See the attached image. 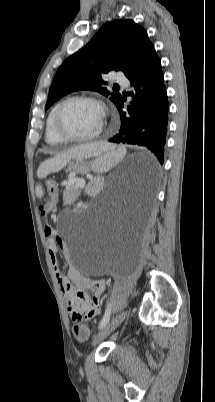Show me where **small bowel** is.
I'll return each instance as SVG.
<instances>
[{"instance_id":"small-bowel-1","label":"small bowel","mask_w":215,"mask_h":402,"mask_svg":"<svg viewBox=\"0 0 215 402\" xmlns=\"http://www.w3.org/2000/svg\"><path fill=\"white\" fill-rule=\"evenodd\" d=\"M66 204L68 202L64 200ZM47 238V248L52 264L55 268L57 281L63 295L68 312L73 318L84 316L92 318L101 312V296L106 289V283L102 279H92L84 276L76 268L71 267L67 275L58 267V252L66 251V245L62 237L51 225L44 227Z\"/></svg>"}]
</instances>
